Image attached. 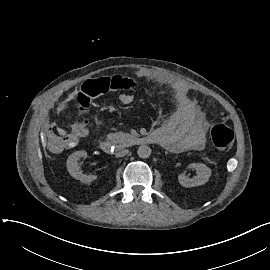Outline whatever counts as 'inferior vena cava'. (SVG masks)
<instances>
[{
  "mask_svg": "<svg viewBox=\"0 0 270 270\" xmlns=\"http://www.w3.org/2000/svg\"><path fill=\"white\" fill-rule=\"evenodd\" d=\"M129 153V150H122L116 154V157H123Z\"/></svg>",
  "mask_w": 270,
  "mask_h": 270,
  "instance_id": "obj_1",
  "label": "inferior vena cava"
}]
</instances>
